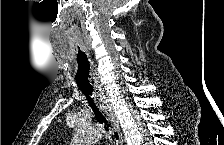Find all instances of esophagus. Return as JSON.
Listing matches in <instances>:
<instances>
[{"label":"esophagus","instance_id":"obj_1","mask_svg":"<svg viewBox=\"0 0 224 145\" xmlns=\"http://www.w3.org/2000/svg\"><path fill=\"white\" fill-rule=\"evenodd\" d=\"M95 101L97 102L99 109L107 116L108 120L111 123L112 134H113L115 145H122L123 137H122L119 121L114 113L112 105L106 99L103 91L100 90L98 92L95 98Z\"/></svg>","mask_w":224,"mask_h":145}]
</instances>
